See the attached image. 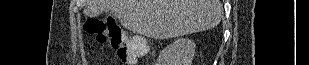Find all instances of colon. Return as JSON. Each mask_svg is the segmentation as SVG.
<instances>
[{
  "label": "colon",
  "mask_w": 309,
  "mask_h": 65,
  "mask_svg": "<svg viewBox=\"0 0 309 65\" xmlns=\"http://www.w3.org/2000/svg\"><path fill=\"white\" fill-rule=\"evenodd\" d=\"M84 30L100 44L109 43L116 50L119 59L125 64H134L147 50L146 43L117 26L112 18H89Z\"/></svg>",
  "instance_id": "colon-1"
}]
</instances>
